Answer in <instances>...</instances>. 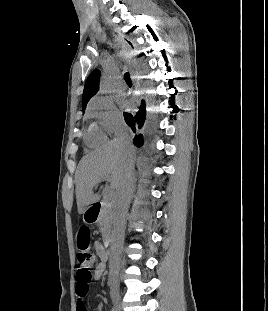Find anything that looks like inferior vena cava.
Wrapping results in <instances>:
<instances>
[{
  "instance_id": "1",
  "label": "inferior vena cava",
  "mask_w": 268,
  "mask_h": 311,
  "mask_svg": "<svg viewBox=\"0 0 268 311\" xmlns=\"http://www.w3.org/2000/svg\"><path fill=\"white\" fill-rule=\"evenodd\" d=\"M118 139L127 145L130 143L127 136L120 135ZM132 169L133 167L130 166L127 170L125 180L121 189L117 193L116 206L113 215L112 251L110 253L109 265L111 270L116 269L115 274H111L110 277L111 285L114 287H117L116 275L121 261L120 248L124 242L126 215L134 192Z\"/></svg>"
}]
</instances>
